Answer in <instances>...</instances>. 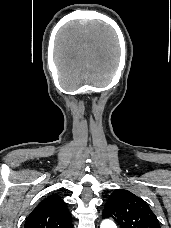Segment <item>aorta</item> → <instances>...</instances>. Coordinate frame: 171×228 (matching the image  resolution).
I'll return each instance as SVG.
<instances>
[{
  "mask_svg": "<svg viewBox=\"0 0 171 228\" xmlns=\"http://www.w3.org/2000/svg\"><path fill=\"white\" fill-rule=\"evenodd\" d=\"M100 228H117V226L112 220L107 219L101 223Z\"/></svg>",
  "mask_w": 171,
  "mask_h": 228,
  "instance_id": "1",
  "label": "aorta"
}]
</instances>
